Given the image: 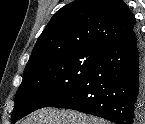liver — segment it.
<instances>
[{
	"label": "liver",
	"mask_w": 145,
	"mask_h": 124,
	"mask_svg": "<svg viewBox=\"0 0 145 124\" xmlns=\"http://www.w3.org/2000/svg\"><path fill=\"white\" fill-rule=\"evenodd\" d=\"M22 124H105V122L75 111L42 109L32 114Z\"/></svg>",
	"instance_id": "1"
}]
</instances>
